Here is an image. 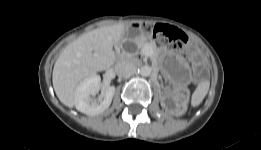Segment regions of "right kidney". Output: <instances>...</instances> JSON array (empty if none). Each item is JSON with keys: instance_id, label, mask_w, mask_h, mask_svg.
I'll return each mask as SVG.
<instances>
[{"instance_id": "ca27d5eb", "label": "right kidney", "mask_w": 261, "mask_h": 150, "mask_svg": "<svg viewBox=\"0 0 261 150\" xmlns=\"http://www.w3.org/2000/svg\"><path fill=\"white\" fill-rule=\"evenodd\" d=\"M101 78L93 75L84 79L75 89V107L78 111L87 115H97L104 112L111 104L115 93V87H108L99 98L94 96L99 92Z\"/></svg>"}]
</instances>
